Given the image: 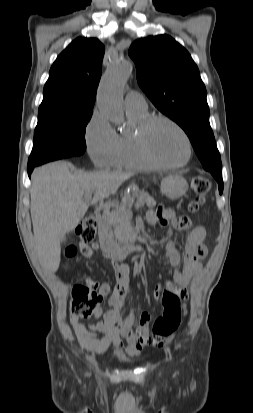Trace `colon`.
I'll return each mask as SVG.
<instances>
[{
    "mask_svg": "<svg viewBox=\"0 0 253 413\" xmlns=\"http://www.w3.org/2000/svg\"><path fill=\"white\" fill-rule=\"evenodd\" d=\"M191 189L196 198L190 203L189 210L198 213L206 201L210 190V182L203 177H194L191 180ZM96 221L92 216L86 217L77 227V234L82 244H90L96 236ZM77 252L75 246L66 249V255L71 257ZM105 293L100 291L96 283L79 284L72 289L70 313L79 318H87L98 308ZM162 313L156 318L152 337L159 343H164L179 328L182 321V307L180 296L167 287L161 298Z\"/></svg>",
    "mask_w": 253,
    "mask_h": 413,
    "instance_id": "colon-1",
    "label": "colon"
}]
</instances>
